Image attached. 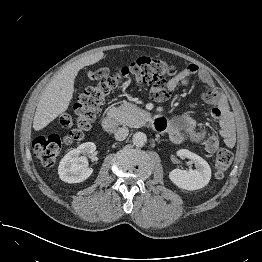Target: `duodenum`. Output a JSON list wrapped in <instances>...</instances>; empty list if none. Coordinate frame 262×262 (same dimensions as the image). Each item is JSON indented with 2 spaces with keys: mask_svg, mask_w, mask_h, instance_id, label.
Returning <instances> with one entry per match:
<instances>
[{
  "mask_svg": "<svg viewBox=\"0 0 262 262\" xmlns=\"http://www.w3.org/2000/svg\"><path fill=\"white\" fill-rule=\"evenodd\" d=\"M162 124V120L159 118L154 119V126L159 129ZM102 126L106 131L112 132L118 126V117L115 114H110L102 119Z\"/></svg>",
  "mask_w": 262,
  "mask_h": 262,
  "instance_id": "410a0bca",
  "label": "duodenum"
}]
</instances>
